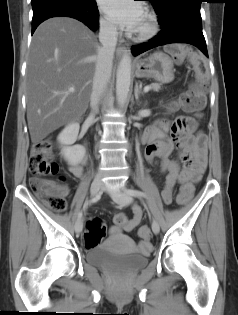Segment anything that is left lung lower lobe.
Listing matches in <instances>:
<instances>
[{"mask_svg": "<svg viewBox=\"0 0 238 315\" xmlns=\"http://www.w3.org/2000/svg\"><path fill=\"white\" fill-rule=\"evenodd\" d=\"M201 2H183L165 12L158 13L162 30L149 42L131 48L137 56L151 48L171 44L188 43L199 48L208 57L205 38L202 33L200 14Z\"/></svg>", "mask_w": 238, "mask_h": 315, "instance_id": "obj_1", "label": "left lung lower lobe"}]
</instances>
